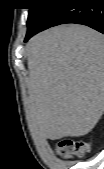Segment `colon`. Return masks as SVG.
I'll list each match as a JSON object with an SVG mask.
<instances>
[{
  "instance_id": "1",
  "label": "colon",
  "mask_w": 104,
  "mask_h": 169,
  "mask_svg": "<svg viewBox=\"0 0 104 169\" xmlns=\"http://www.w3.org/2000/svg\"><path fill=\"white\" fill-rule=\"evenodd\" d=\"M57 152L64 158L83 156L89 149V144L82 140L63 138L56 144Z\"/></svg>"
}]
</instances>
